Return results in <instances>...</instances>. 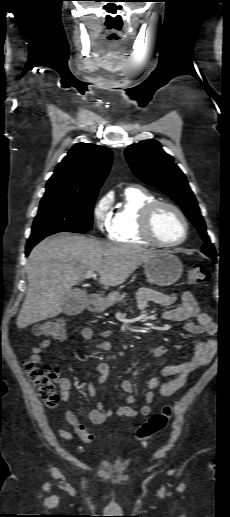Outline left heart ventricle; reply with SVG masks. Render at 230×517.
<instances>
[{
  "label": "left heart ventricle",
  "mask_w": 230,
  "mask_h": 517,
  "mask_svg": "<svg viewBox=\"0 0 230 517\" xmlns=\"http://www.w3.org/2000/svg\"><path fill=\"white\" fill-rule=\"evenodd\" d=\"M154 232L164 242H175L182 238L184 225L180 217L169 208H161L154 219Z\"/></svg>",
  "instance_id": "b2bd125f"
}]
</instances>
